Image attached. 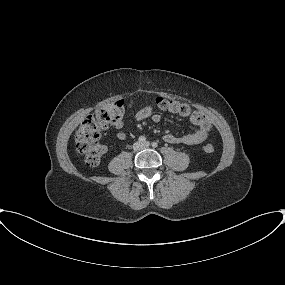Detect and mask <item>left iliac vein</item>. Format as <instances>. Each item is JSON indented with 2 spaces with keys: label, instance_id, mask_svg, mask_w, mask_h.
<instances>
[{
  "label": "left iliac vein",
  "instance_id": "1",
  "mask_svg": "<svg viewBox=\"0 0 285 285\" xmlns=\"http://www.w3.org/2000/svg\"><path fill=\"white\" fill-rule=\"evenodd\" d=\"M143 148H148L150 146V143L149 142H144L142 144Z\"/></svg>",
  "mask_w": 285,
  "mask_h": 285
}]
</instances>
